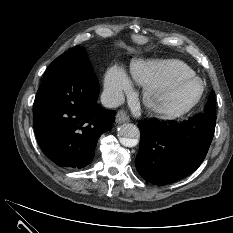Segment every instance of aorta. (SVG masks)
<instances>
[{"mask_svg":"<svg viewBox=\"0 0 233 233\" xmlns=\"http://www.w3.org/2000/svg\"><path fill=\"white\" fill-rule=\"evenodd\" d=\"M120 143L125 147H134L140 137L139 128L132 123L122 124L118 129Z\"/></svg>","mask_w":233,"mask_h":233,"instance_id":"762f6f07","label":"aorta"}]
</instances>
